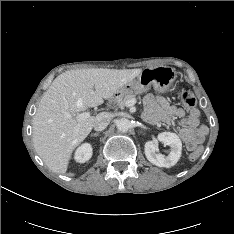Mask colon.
I'll use <instances>...</instances> for the list:
<instances>
[{
	"instance_id": "colon-1",
	"label": "colon",
	"mask_w": 234,
	"mask_h": 234,
	"mask_svg": "<svg viewBox=\"0 0 234 234\" xmlns=\"http://www.w3.org/2000/svg\"><path fill=\"white\" fill-rule=\"evenodd\" d=\"M179 99L181 104L186 108H192L196 103V99L193 94L187 90H181L179 92ZM190 151V158L195 160L201 155L202 148L200 146H194L190 148Z\"/></svg>"
}]
</instances>
